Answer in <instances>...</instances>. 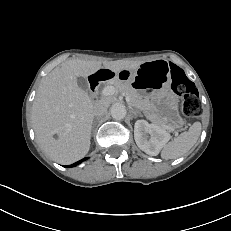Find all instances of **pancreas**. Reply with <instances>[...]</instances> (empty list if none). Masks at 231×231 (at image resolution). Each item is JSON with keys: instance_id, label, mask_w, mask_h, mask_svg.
I'll return each instance as SVG.
<instances>
[{"instance_id": "obj_1", "label": "pancreas", "mask_w": 231, "mask_h": 231, "mask_svg": "<svg viewBox=\"0 0 231 231\" xmlns=\"http://www.w3.org/2000/svg\"><path fill=\"white\" fill-rule=\"evenodd\" d=\"M110 85L114 86L116 90L130 97V104L140 110H148L149 101L143 99V97L128 83L119 79H114L109 82ZM147 118L157 124L164 126L160 118L153 112L146 111Z\"/></svg>"}]
</instances>
